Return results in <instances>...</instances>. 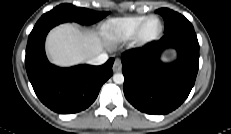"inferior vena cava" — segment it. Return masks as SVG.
<instances>
[{"mask_svg":"<svg viewBox=\"0 0 231 134\" xmlns=\"http://www.w3.org/2000/svg\"><path fill=\"white\" fill-rule=\"evenodd\" d=\"M108 60V55L106 53H100L97 56L88 60L91 65H102Z\"/></svg>","mask_w":231,"mask_h":134,"instance_id":"1","label":"inferior vena cava"}]
</instances>
